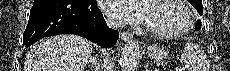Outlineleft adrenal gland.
<instances>
[{
    "label": "left adrenal gland",
    "mask_w": 230,
    "mask_h": 71,
    "mask_svg": "<svg viewBox=\"0 0 230 71\" xmlns=\"http://www.w3.org/2000/svg\"><path fill=\"white\" fill-rule=\"evenodd\" d=\"M148 67H149V64H146V66H145V71H148Z\"/></svg>",
    "instance_id": "1"
}]
</instances>
